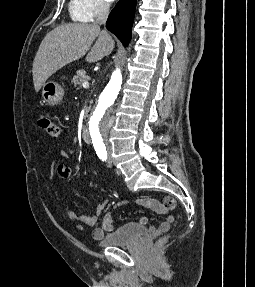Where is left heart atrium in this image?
Returning a JSON list of instances; mask_svg holds the SVG:
<instances>
[{
    "label": "left heart atrium",
    "instance_id": "39dd6f15",
    "mask_svg": "<svg viewBox=\"0 0 255 287\" xmlns=\"http://www.w3.org/2000/svg\"><path fill=\"white\" fill-rule=\"evenodd\" d=\"M74 33H86V32H74ZM72 39H92V38H72ZM73 48H90V47H73Z\"/></svg>",
    "mask_w": 255,
    "mask_h": 287
}]
</instances>
